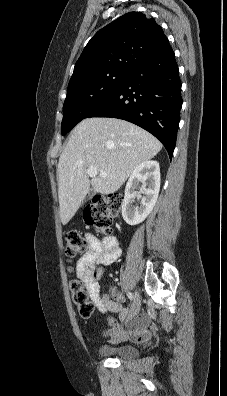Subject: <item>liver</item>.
<instances>
[{"instance_id":"obj_1","label":"liver","mask_w":227,"mask_h":396,"mask_svg":"<svg viewBox=\"0 0 227 396\" xmlns=\"http://www.w3.org/2000/svg\"><path fill=\"white\" fill-rule=\"evenodd\" d=\"M162 144L149 132L117 118L93 117L82 120L71 132L58 163L60 219L66 225L89 192H116L141 163L153 158ZM100 175L89 180L88 168Z\"/></svg>"}]
</instances>
